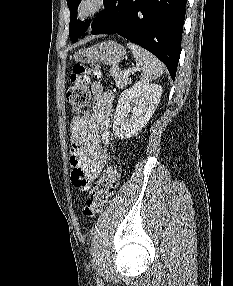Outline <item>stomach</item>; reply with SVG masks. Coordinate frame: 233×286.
Instances as JSON below:
<instances>
[{
	"mask_svg": "<svg viewBox=\"0 0 233 286\" xmlns=\"http://www.w3.org/2000/svg\"><path fill=\"white\" fill-rule=\"evenodd\" d=\"M126 57L124 47L114 41H106L87 49H80L70 58L80 63H103L118 67L119 62Z\"/></svg>",
	"mask_w": 233,
	"mask_h": 286,
	"instance_id": "1",
	"label": "stomach"
}]
</instances>
